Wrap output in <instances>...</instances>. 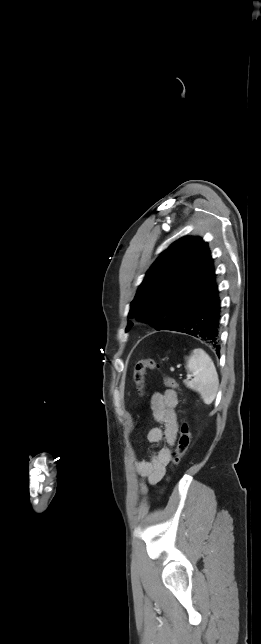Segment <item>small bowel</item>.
Segmentation results:
<instances>
[{"label": "small bowel", "mask_w": 261, "mask_h": 644, "mask_svg": "<svg viewBox=\"0 0 261 644\" xmlns=\"http://www.w3.org/2000/svg\"><path fill=\"white\" fill-rule=\"evenodd\" d=\"M177 404L178 397L173 390L156 392L151 397L150 407L153 418L162 427L150 429L147 440L150 443L164 441L166 446L156 451L149 461L135 463L136 472L142 478L140 488L143 494L148 491L147 483L156 484L162 479L171 459L172 448L176 445L178 434Z\"/></svg>", "instance_id": "1"}]
</instances>
